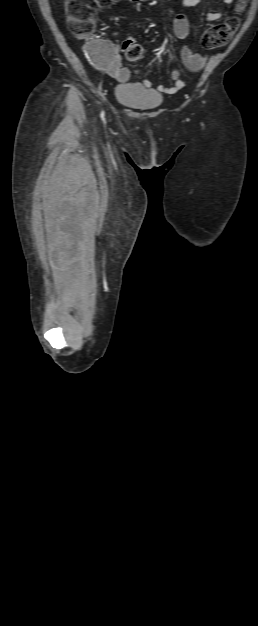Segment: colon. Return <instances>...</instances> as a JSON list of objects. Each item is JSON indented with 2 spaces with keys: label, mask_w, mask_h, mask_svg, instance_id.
<instances>
[{
  "label": "colon",
  "mask_w": 258,
  "mask_h": 626,
  "mask_svg": "<svg viewBox=\"0 0 258 626\" xmlns=\"http://www.w3.org/2000/svg\"><path fill=\"white\" fill-rule=\"evenodd\" d=\"M118 0H64V7L68 26L72 33L79 38L88 37L94 27V11L97 7H107ZM248 0H238L237 12L243 11ZM239 26V18L232 16L226 21L207 29L201 37L203 47L211 49L224 46L234 35ZM123 49L128 60L139 61L145 55L142 45L129 38L123 42ZM94 58L98 57L96 50H91Z\"/></svg>",
  "instance_id": "1"
}]
</instances>
